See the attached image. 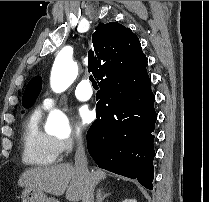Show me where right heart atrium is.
<instances>
[{"instance_id": "obj_1", "label": "right heart atrium", "mask_w": 209, "mask_h": 202, "mask_svg": "<svg viewBox=\"0 0 209 202\" xmlns=\"http://www.w3.org/2000/svg\"><path fill=\"white\" fill-rule=\"evenodd\" d=\"M57 142L60 151L68 154L82 145V137L81 135H70L68 137L57 139Z\"/></svg>"}]
</instances>
